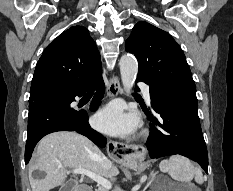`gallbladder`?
<instances>
[{"instance_id": "bac80fb5", "label": "gallbladder", "mask_w": 233, "mask_h": 191, "mask_svg": "<svg viewBox=\"0 0 233 191\" xmlns=\"http://www.w3.org/2000/svg\"><path fill=\"white\" fill-rule=\"evenodd\" d=\"M75 183L76 182L74 180H70L64 186H62L59 191H73Z\"/></svg>"}]
</instances>
